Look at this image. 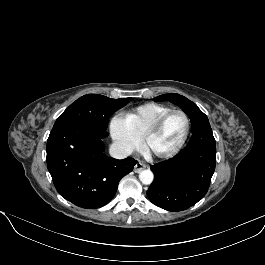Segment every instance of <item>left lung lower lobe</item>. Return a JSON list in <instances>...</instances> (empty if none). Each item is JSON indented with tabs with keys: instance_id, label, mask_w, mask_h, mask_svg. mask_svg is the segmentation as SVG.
<instances>
[{
	"instance_id": "obj_1",
	"label": "left lung lower lobe",
	"mask_w": 265,
	"mask_h": 265,
	"mask_svg": "<svg viewBox=\"0 0 265 265\" xmlns=\"http://www.w3.org/2000/svg\"><path fill=\"white\" fill-rule=\"evenodd\" d=\"M216 166V145L210 125L192 131L187 146L176 156L151 165L154 181L147 196L156 206L182 211L208 191Z\"/></svg>"
}]
</instances>
